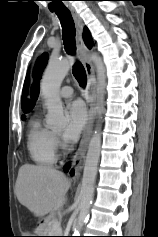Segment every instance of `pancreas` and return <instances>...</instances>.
Here are the masks:
<instances>
[{"instance_id": "1", "label": "pancreas", "mask_w": 158, "mask_h": 237, "mask_svg": "<svg viewBox=\"0 0 158 237\" xmlns=\"http://www.w3.org/2000/svg\"><path fill=\"white\" fill-rule=\"evenodd\" d=\"M44 233L46 236H58L60 235V231L58 228L54 227L53 220L48 219L46 224H45V230Z\"/></svg>"}]
</instances>
